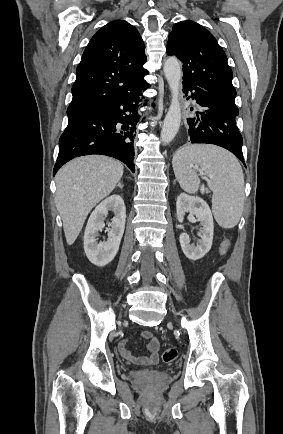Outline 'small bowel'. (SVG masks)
<instances>
[{"label":"small bowel","instance_id":"small-bowel-1","mask_svg":"<svg viewBox=\"0 0 283 434\" xmlns=\"http://www.w3.org/2000/svg\"><path fill=\"white\" fill-rule=\"evenodd\" d=\"M141 336L148 340L147 343V350H148V355L146 356H141V357H136L134 356L127 348H126V344H127V340H123L120 344H119V351L121 356L134 363V364H138V365H155L158 363L159 361V347H160V343L159 340L153 335V333L149 330H145L141 333Z\"/></svg>","mask_w":283,"mask_h":434}]
</instances>
